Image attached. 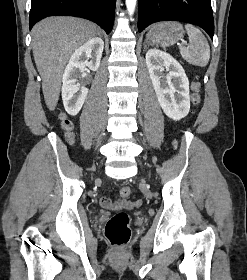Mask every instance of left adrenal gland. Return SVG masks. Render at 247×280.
<instances>
[{
    "instance_id": "left-adrenal-gland-1",
    "label": "left adrenal gland",
    "mask_w": 247,
    "mask_h": 280,
    "mask_svg": "<svg viewBox=\"0 0 247 280\" xmlns=\"http://www.w3.org/2000/svg\"><path fill=\"white\" fill-rule=\"evenodd\" d=\"M147 45H148V41H147V40H145L144 49H146V48H147Z\"/></svg>"
}]
</instances>
